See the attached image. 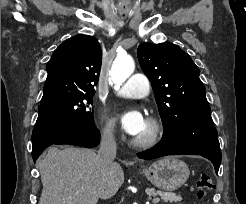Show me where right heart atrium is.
Returning <instances> with one entry per match:
<instances>
[{
    "label": "right heart atrium",
    "instance_id": "1",
    "mask_svg": "<svg viewBox=\"0 0 246 204\" xmlns=\"http://www.w3.org/2000/svg\"><path fill=\"white\" fill-rule=\"evenodd\" d=\"M100 134L103 139L112 141L116 137V126L114 121L105 114H100L97 119Z\"/></svg>",
    "mask_w": 246,
    "mask_h": 204
}]
</instances>
